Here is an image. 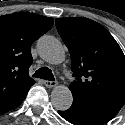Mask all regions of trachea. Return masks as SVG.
I'll return each instance as SVG.
<instances>
[{"label":"trachea","mask_w":125,"mask_h":125,"mask_svg":"<svg viewBox=\"0 0 125 125\" xmlns=\"http://www.w3.org/2000/svg\"><path fill=\"white\" fill-rule=\"evenodd\" d=\"M33 77L35 78H41L49 81H54V75L52 74V71L47 67H42L38 69L34 74Z\"/></svg>","instance_id":"obj_1"}]
</instances>
